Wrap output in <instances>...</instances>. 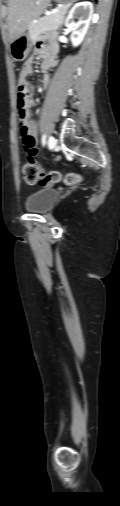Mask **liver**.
<instances>
[{"instance_id":"6515ba94","label":"liver","mask_w":120,"mask_h":506,"mask_svg":"<svg viewBox=\"0 0 120 506\" xmlns=\"http://www.w3.org/2000/svg\"><path fill=\"white\" fill-rule=\"evenodd\" d=\"M51 0H8V30L10 42L22 35L34 19L42 15Z\"/></svg>"}]
</instances>
